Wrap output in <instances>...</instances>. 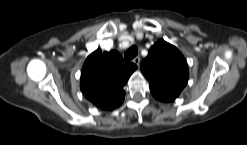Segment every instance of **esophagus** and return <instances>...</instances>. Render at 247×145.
Instances as JSON below:
<instances>
[{
    "label": "esophagus",
    "mask_w": 247,
    "mask_h": 145,
    "mask_svg": "<svg viewBox=\"0 0 247 145\" xmlns=\"http://www.w3.org/2000/svg\"><path fill=\"white\" fill-rule=\"evenodd\" d=\"M132 62L135 63L136 65H139V63H140V57H139V56L135 57V58L132 60Z\"/></svg>",
    "instance_id": "esophagus-1"
}]
</instances>
